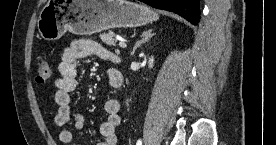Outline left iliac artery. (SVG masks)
<instances>
[{"label":"left iliac artery","instance_id":"44dca946","mask_svg":"<svg viewBox=\"0 0 276 145\" xmlns=\"http://www.w3.org/2000/svg\"><path fill=\"white\" fill-rule=\"evenodd\" d=\"M136 145H142V141L139 139L136 143Z\"/></svg>","mask_w":276,"mask_h":145}]
</instances>
